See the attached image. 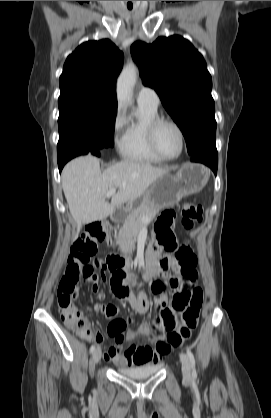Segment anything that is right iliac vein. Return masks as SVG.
<instances>
[{
	"mask_svg": "<svg viewBox=\"0 0 271 418\" xmlns=\"http://www.w3.org/2000/svg\"><path fill=\"white\" fill-rule=\"evenodd\" d=\"M92 359H93L94 364H97L100 361V359H101V350L100 349H96L93 352Z\"/></svg>",
	"mask_w": 271,
	"mask_h": 418,
	"instance_id": "obj_1",
	"label": "right iliac vein"
}]
</instances>
